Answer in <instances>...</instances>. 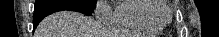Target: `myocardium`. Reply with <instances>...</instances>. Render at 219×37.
<instances>
[{"label":"myocardium","mask_w":219,"mask_h":37,"mask_svg":"<svg viewBox=\"0 0 219 37\" xmlns=\"http://www.w3.org/2000/svg\"><path fill=\"white\" fill-rule=\"evenodd\" d=\"M156 3H158V8L154 11H151L149 13V16L152 20H154L156 23L164 26L165 24H167L171 18H172V11L170 9V7L168 5L165 4L164 1H161V0H152ZM162 9H165L168 11V17L166 19H161L159 18L158 14L159 12L162 10Z\"/></svg>","instance_id":"f54148a6"}]
</instances>
